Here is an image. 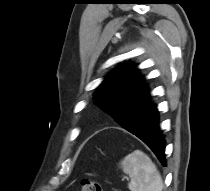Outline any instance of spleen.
Returning <instances> with one entry per match:
<instances>
[{"instance_id":"3e777b00","label":"spleen","mask_w":210,"mask_h":191,"mask_svg":"<svg viewBox=\"0 0 210 191\" xmlns=\"http://www.w3.org/2000/svg\"><path fill=\"white\" fill-rule=\"evenodd\" d=\"M123 172L131 178L128 188L131 191H162L160 173L151 159L142 151L135 150L122 161Z\"/></svg>"}]
</instances>
